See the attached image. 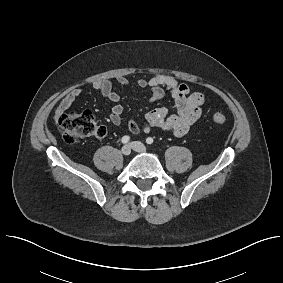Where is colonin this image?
<instances>
[{"label":"colon","mask_w":283,"mask_h":283,"mask_svg":"<svg viewBox=\"0 0 283 283\" xmlns=\"http://www.w3.org/2000/svg\"><path fill=\"white\" fill-rule=\"evenodd\" d=\"M226 116L222 113H215L212 121L222 125L226 122ZM58 128L67 143H75L85 138H100L106 133L104 126L100 125L90 112H69L58 119Z\"/></svg>","instance_id":"1"}]
</instances>
